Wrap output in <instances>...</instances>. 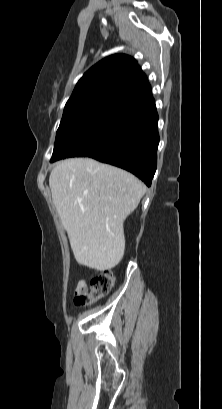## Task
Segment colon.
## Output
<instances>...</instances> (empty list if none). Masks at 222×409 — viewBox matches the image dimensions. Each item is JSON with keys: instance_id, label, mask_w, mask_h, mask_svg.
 I'll return each mask as SVG.
<instances>
[{"instance_id": "1", "label": "colon", "mask_w": 222, "mask_h": 409, "mask_svg": "<svg viewBox=\"0 0 222 409\" xmlns=\"http://www.w3.org/2000/svg\"><path fill=\"white\" fill-rule=\"evenodd\" d=\"M114 283L115 275L111 270L101 271L91 279L89 291L76 293L73 300L74 306L85 307L91 305L99 298L106 296L113 288Z\"/></svg>"}]
</instances>
